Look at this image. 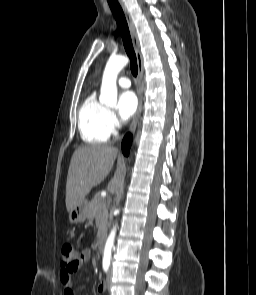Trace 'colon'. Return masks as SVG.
<instances>
[{"mask_svg": "<svg viewBox=\"0 0 256 295\" xmlns=\"http://www.w3.org/2000/svg\"><path fill=\"white\" fill-rule=\"evenodd\" d=\"M79 263V255L70 243H64L61 247L60 264L64 269L75 270Z\"/></svg>", "mask_w": 256, "mask_h": 295, "instance_id": "obj_1", "label": "colon"}]
</instances>
